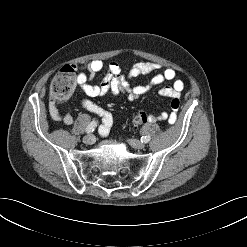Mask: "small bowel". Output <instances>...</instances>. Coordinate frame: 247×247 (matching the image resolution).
<instances>
[{"mask_svg":"<svg viewBox=\"0 0 247 247\" xmlns=\"http://www.w3.org/2000/svg\"><path fill=\"white\" fill-rule=\"evenodd\" d=\"M76 67V66H74ZM83 70L77 74V84L80 92L88 98H82L80 105L96 114L101 118L102 124L100 126V134L107 136L113 125V114L105 108L99 106L89 98H95L103 96L110 92L112 95L125 94L129 100H136L139 97L147 94L153 87L165 82L173 80L171 86H164L158 90V95L162 97H168L171 99L170 113H162L159 118L162 120H168L174 122L176 119V112L178 109L172 107V102L175 99L179 100V97L184 89L183 80L177 78V71L174 68H166L163 71L160 70V65L153 62H137L129 71L125 74L122 72L120 65L112 61L108 65H105L102 60L95 59L83 67ZM105 71L104 76L99 84H93L94 77ZM152 75L151 80L147 84L132 86V79L141 75ZM50 115L53 119L63 122L66 125L73 123L74 117L70 112L61 114L56 106L50 105ZM155 116H150V121H155Z\"/></svg>","mask_w":247,"mask_h":247,"instance_id":"small-bowel-1","label":"small bowel"}]
</instances>
